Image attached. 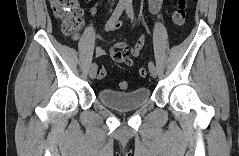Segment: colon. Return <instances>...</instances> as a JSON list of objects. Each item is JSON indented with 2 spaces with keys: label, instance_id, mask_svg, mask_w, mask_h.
Wrapping results in <instances>:
<instances>
[{
  "label": "colon",
  "instance_id": "colon-1",
  "mask_svg": "<svg viewBox=\"0 0 239 156\" xmlns=\"http://www.w3.org/2000/svg\"><path fill=\"white\" fill-rule=\"evenodd\" d=\"M186 0H177L172 14L173 23L176 26H182L186 19ZM52 9L55 16L60 20V27L65 35L77 36L82 27L83 10L76 0H53ZM139 76L141 78L147 77L146 68L139 69ZM107 76V70L102 67L99 71L98 78L104 80ZM120 89L128 88V83L122 81L119 84Z\"/></svg>",
  "mask_w": 239,
  "mask_h": 156
}]
</instances>
